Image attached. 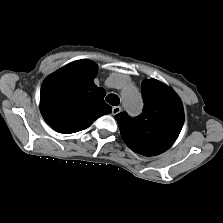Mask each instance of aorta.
Instances as JSON below:
<instances>
[{
    "label": "aorta",
    "instance_id": "aorta-1",
    "mask_svg": "<svg viewBox=\"0 0 223 223\" xmlns=\"http://www.w3.org/2000/svg\"><path fill=\"white\" fill-rule=\"evenodd\" d=\"M121 93L123 102L129 113L133 115L139 114L143 108V101L138 89L134 85L125 82L123 83Z\"/></svg>",
    "mask_w": 223,
    "mask_h": 223
}]
</instances>
